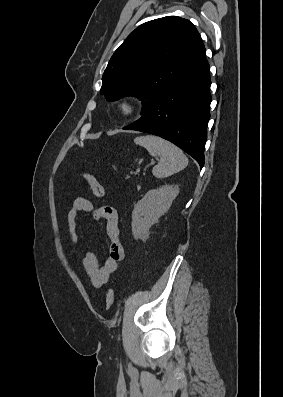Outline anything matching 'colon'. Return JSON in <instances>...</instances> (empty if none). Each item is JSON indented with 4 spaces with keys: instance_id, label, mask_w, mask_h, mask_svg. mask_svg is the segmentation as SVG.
Wrapping results in <instances>:
<instances>
[{
    "instance_id": "colon-1",
    "label": "colon",
    "mask_w": 283,
    "mask_h": 397,
    "mask_svg": "<svg viewBox=\"0 0 283 397\" xmlns=\"http://www.w3.org/2000/svg\"><path fill=\"white\" fill-rule=\"evenodd\" d=\"M82 176L86 180L93 194L98 198H102L105 193L104 188L101 185V183L98 181V179L95 177V175L88 170H83ZM114 302H115V294L112 290L109 289L106 293V307L107 308L112 307Z\"/></svg>"
}]
</instances>
